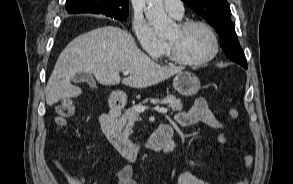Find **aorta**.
I'll return each mask as SVG.
<instances>
[{
	"instance_id": "1",
	"label": "aorta",
	"mask_w": 293,
	"mask_h": 184,
	"mask_svg": "<svg viewBox=\"0 0 293 184\" xmlns=\"http://www.w3.org/2000/svg\"><path fill=\"white\" fill-rule=\"evenodd\" d=\"M148 7L146 18L159 36L168 34L174 27V21L164 11L163 0H146Z\"/></svg>"
}]
</instances>
